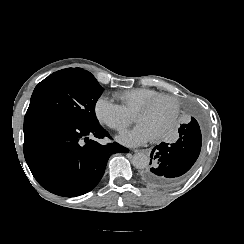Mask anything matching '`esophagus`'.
Returning a JSON list of instances; mask_svg holds the SVG:
<instances>
[{
    "label": "esophagus",
    "mask_w": 244,
    "mask_h": 244,
    "mask_svg": "<svg viewBox=\"0 0 244 244\" xmlns=\"http://www.w3.org/2000/svg\"><path fill=\"white\" fill-rule=\"evenodd\" d=\"M134 152H142L144 154H149L151 149L150 148H145V149H135L133 150Z\"/></svg>",
    "instance_id": "obj_1"
}]
</instances>
